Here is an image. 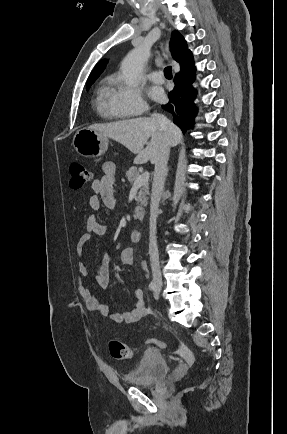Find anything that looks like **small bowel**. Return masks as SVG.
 <instances>
[{
  "mask_svg": "<svg viewBox=\"0 0 287 434\" xmlns=\"http://www.w3.org/2000/svg\"><path fill=\"white\" fill-rule=\"evenodd\" d=\"M103 175L96 178L91 183V188L94 192L89 198V207L93 211H99L102 207L112 209L116 205L115 196V181H116V166L113 162H105L102 165ZM108 234V227L100 223L95 216H90L85 224V232L78 239L76 250L78 254H82L89 243L92 235L105 237ZM121 264L131 266L134 263V251L127 247L121 250L119 255ZM78 288L80 295L84 299L87 308L92 312L100 313L107 316L112 322L121 324H133L143 319L146 314L144 303V294L141 289H136L134 292L135 304L131 311L127 313L112 312L110 308L102 303L100 299L87 286V281L91 279L100 287H106L110 281V257L105 253L101 259L98 273L89 277L88 267L85 262L78 263ZM188 363H191L189 358Z\"/></svg>",
  "mask_w": 287,
  "mask_h": 434,
  "instance_id": "small-bowel-1",
  "label": "small bowel"
}]
</instances>
